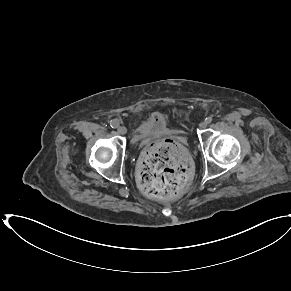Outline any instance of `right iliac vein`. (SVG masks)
Instances as JSON below:
<instances>
[{"label":"right iliac vein","mask_w":291,"mask_h":291,"mask_svg":"<svg viewBox=\"0 0 291 291\" xmlns=\"http://www.w3.org/2000/svg\"><path fill=\"white\" fill-rule=\"evenodd\" d=\"M117 131L120 135H125L127 133V129L125 126H119Z\"/></svg>","instance_id":"right-iliac-vein-1"}]
</instances>
